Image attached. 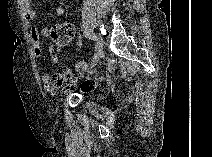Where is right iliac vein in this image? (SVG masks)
<instances>
[{
  "label": "right iliac vein",
  "instance_id": "1",
  "mask_svg": "<svg viewBox=\"0 0 212 157\" xmlns=\"http://www.w3.org/2000/svg\"><path fill=\"white\" fill-rule=\"evenodd\" d=\"M95 38V55H94V60L89 69H92L97 65V63L100 61L101 55H102V45H101V40L98 36L94 35Z\"/></svg>",
  "mask_w": 212,
  "mask_h": 157
}]
</instances>
